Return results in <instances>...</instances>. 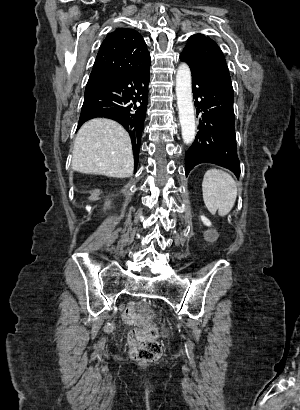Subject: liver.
I'll return each instance as SVG.
<instances>
[{"label":"liver","mask_w":300,"mask_h":410,"mask_svg":"<svg viewBox=\"0 0 300 410\" xmlns=\"http://www.w3.org/2000/svg\"><path fill=\"white\" fill-rule=\"evenodd\" d=\"M72 169L84 174L126 178L133 174L129 134L117 122L96 118L86 122L74 141Z\"/></svg>","instance_id":"6515ba94"}]
</instances>
